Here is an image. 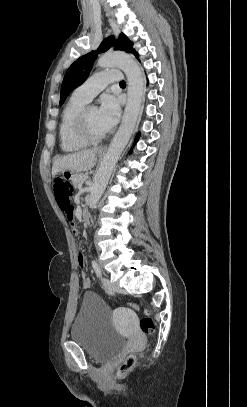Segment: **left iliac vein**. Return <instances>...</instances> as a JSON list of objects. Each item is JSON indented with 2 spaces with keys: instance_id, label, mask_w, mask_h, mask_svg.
I'll use <instances>...</instances> for the list:
<instances>
[{
  "instance_id": "left-iliac-vein-1",
  "label": "left iliac vein",
  "mask_w": 247,
  "mask_h": 407,
  "mask_svg": "<svg viewBox=\"0 0 247 407\" xmlns=\"http://www.w3.org/2000/svg\"><path fill=\"white\" fill-rule=\"evenodd\" d=\"M102 283L104 287L110 292L115 293L119 291V286L115 283H112L108 278H102Z\"/></svg>"
}]
</instances>
